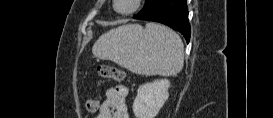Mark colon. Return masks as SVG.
<instances>
[{"label":"colon","mask_w":273,"mask_h":118,"mask_svg":"<svg viewBox=\"0 0 273 118\" xmlns=\"http://www.w3.org/2000/svg\"><path fill=\"white\" fill-rule=\"evenodd\" d=\"M97 72L102 78H111L116 81H122L125 78V74L117 67L108 64H100L97 66ZM86 109L90 113H95L99 109L98 101L88 100L86 102Z\"/></svg>","instance_id":"5ec220e1"}]
</instances>
